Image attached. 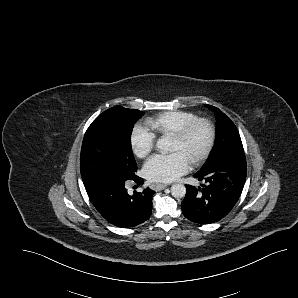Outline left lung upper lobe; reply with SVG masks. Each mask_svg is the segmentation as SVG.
I'll return each instance as SVG.
<instances>
[{
  "mask_svg": "<svg viewBox=\"0 0 298 298\" xmlns=\"http://www.w3.org/2000/svg\"><path fill=\"white\" fill-rule=\"evenodd\" d=\"M217 121V141L211 158L203 168H208L236 155H244L239 132L234 123L218 108L207 105ZM202 168V169H203Z\"/></svg>",
  "mask_w": 298,
  "mask_h": 298,
  "instance_id": "1",
  "label": "left lung upper lobe"
}]
</instances>
